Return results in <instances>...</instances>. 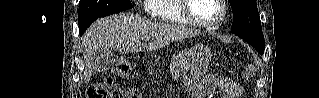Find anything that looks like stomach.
<instances>
[{"label": "stomach", "instance_id": "1", "mask_svg": "<svg viewBox=\"0 0 319 98\" xmlns=\"http://www.w3.org/2000/svg\"><path fill=\"white\" fill-rule=\"evenodd\" d=\"M210 60V49L203 44H196L185 52L182 79L193 96L198 95L201 91L202 77L208 69Z\"/></svg>", "mask_w": 319, "mask_h": 98}]
</instances>
